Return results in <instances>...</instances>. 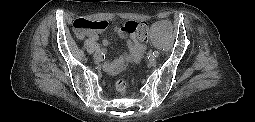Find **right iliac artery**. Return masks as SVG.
Instances as JSON below:
<instances>
[{
  "label": "right iliac artery",
  "mask_w": 255,
  "mask_h": 122,
  "mask_svg": "<svg viewBox=\"0 0 255 122\" xmlns=\"http://www.w3.org/2000/svg\"><path fill=\"white\" fill-rule=\"evenodd\" d=\"M96 54H103L102 49L100 47L97 48V51L94 55H96Z\"/></svg>",
  "instance_id": "obj_1"
}]
</instances>
